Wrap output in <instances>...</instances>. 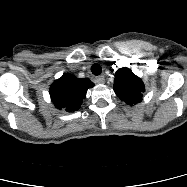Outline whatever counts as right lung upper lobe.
<instances>
[{"label": "right lung upper lobe", "instance_id": "cb5924a9", "mask_svg": "<svg viewBox=\"0 0 187 187\" xmlns=\"http://www.w3.org/2000/svg\"><path fill=\"white\" fill-rule=\"evenodd\" d=\"M93 86L88 78L79 79L72 74H64L51 85V100L58 109L73 112L80 108L87 90Z\"/></svg>", "mask_w": 187, "mask_h": 187}]
</instances>
